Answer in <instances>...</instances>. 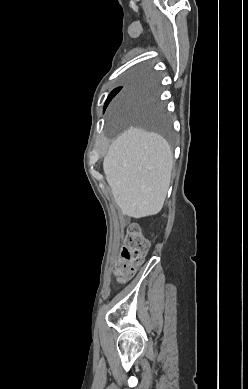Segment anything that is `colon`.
<instances>
[{
  "label": "colon",
  "instance_id": "colon-1",
  "mask_svg": "<svg viewBox=\"0 0 248 389\" xmlns=\"http://www.w3.org/2000/svg\"><path fill=\"white\" fill-rule=\"evenodd\" d=\"M148 248V240L143 236L139 227L135 224L131 225L127 230L120 258L116 264L115 271L119 282H124L134 275L142 264Z\"/></svg>",
  "mask_w": 248,
  "mask_h": 389
}]
</instances>
